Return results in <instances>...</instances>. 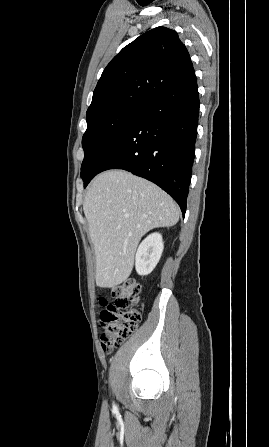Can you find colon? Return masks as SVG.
<instances>
[{
	"label": "colon",
	"mask_w": 269,
	"mask_h": 447,
	"mask_svg": "<svg viewBox=\"0 0 269 447\" xmlns=\"http://www.w3.org/2000/svg\"><path fill=\"white\" fill-rule=\"evenodd\" d=\"M141 284L133 278L112 288L113 302L101 300L103 309L99 313V322L103 327L101 346L109 352L123 343L139 327L142 319L138 306Z\"/></svg>",
	"instance_id": "obj_1"
}]
</instances>
